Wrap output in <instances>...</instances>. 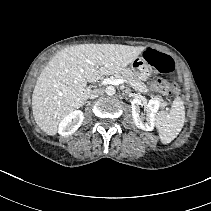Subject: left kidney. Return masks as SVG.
<instances>
[{
  "mask_svg": "<svg viewBox=\"0 0 211 211\" xmlns=\"http://www.w3.org/2000/svg\"><path fill=\"white\" fill-rule=\"evenodd\" d=\"M140 105L144 106V112L146 114H143V113L140 114V107H139ZM131 109H132L133 122L137 128L142 129L144 131H152L154 129L153 119L159 109L158 102L154 100H150L147 103L144 97L136 96L131 101ZM144 115H146V120H147V122L145 123H144V119H145Z\"/></svg>",
  "mask_w": 211,
  "mask_h": 211,
  "instance_id": "obj_1",
  "label": "left kidney"
}]
</instances>
